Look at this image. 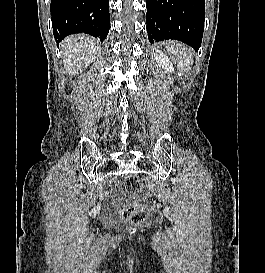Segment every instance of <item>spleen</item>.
<instances>
[{
    "instance_id": "spleen-1",
    "label": "spleen",
    "mask_w": 265,
    "mask_h": 273,
    "mask_svg": "<svg viewBox=\"0 0 265 273\" xmlns=\"http://www.w3.org/2000/svg\"><path fill=\"white\" fill-rule=\"evenodd\" d=\"M167 50L173 62L181 70L193 62L191 50L181 43L170 42L167 44Z\"/></svg>"
}]
</instances>
